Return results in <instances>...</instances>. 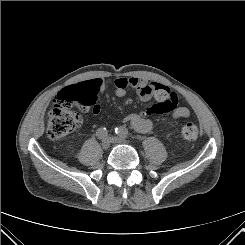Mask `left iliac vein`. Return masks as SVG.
<instances>
[{"label": "left iliac vein", "instance_id": "4c4485c4", "mask_svg": "<svg viewBox=\"0 0 245 245\" xmlns=\"http://www.w3.org/2000/svg\"><path fill=\"white\" fill-rule=\"evenodd\" d=\"M108 139L113 144H128L129 143L127 140H125L123 138L114 137V136H110V137H108Z\"/></svg>", "mask_w": 245, "mask_h": 245}]
</instances>
